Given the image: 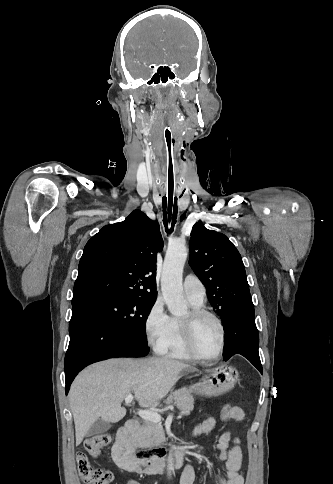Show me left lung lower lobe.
Here are the masks:
<instances>
[{"label": "left lung lower lobe", "mask_w": 333, "mask_h": 484, "mask_svg": "<svg viewBox=\"0 0 333 484\" xmlns=\"http://www.w3.org/2000/svg\"><path fill=\"white\" fill-rule=\"evenodd\" d=\"M223 326L226 342L224 360H228L234 354H241L262 371L258 353L259 336L251 296L243 298L231 307L223 320Z\"/></svg>", "instance_id": "obj_1"}]
</instances>
